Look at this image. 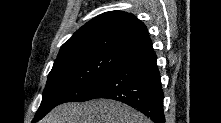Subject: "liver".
<instances>
[{"mask_svg":"<svg viewBox=\"0 0 221 123\" xmlns=\"http://www.w3.org/2000/svg\"><path fill=\"white\" fill-rule=\"evenodd\" d=\"M40 123H151L133 108L114 100L97 99L65 103L54 108Z\"/></svg>","mask_w":221,"mask_h":123,"instance_id":"obj_1","label":"liver"}]
</instances>
